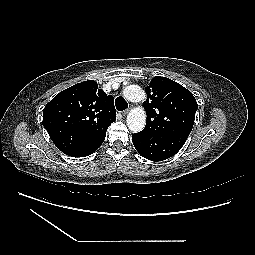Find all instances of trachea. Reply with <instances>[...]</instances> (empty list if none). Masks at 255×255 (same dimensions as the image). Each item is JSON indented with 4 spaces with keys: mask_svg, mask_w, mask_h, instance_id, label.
<instances>
[{
    "mask_svg": "<svg viewBox=\"0 0 255 255\" xmlns=\"http://www.w3.org/2000/svg\"><path fill=\"white\" fill-rule=\"evenodd\" d=\"M115 106L118 111H123L128 108V103L123 97H117L115 99Z\"/></svg>",
    "mask_w": 255,
    "mask_h": 255,
    "instance_id": "trachea-1",
    "label": "trachea"
}]
</instances>
